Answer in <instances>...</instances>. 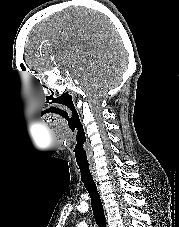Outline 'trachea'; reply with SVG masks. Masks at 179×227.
Here are the masks:
<instances>
[{
	"label": "trachea",
	"mask_w": 179,
	"mask_h": 227,
	"mask_svg": "<svg viewBox=\"0 0 179 227\" xmlns=\"http://www.w3.org/2000/svg\"><path fill=\"white\" fill-rule=\"evenodd\" d=\"M76 164L80 169L81 179L91 198L94 218L98 227H106V219L96 184L90 172L86 150L75 151Z\"/></svg>",
	"instance_id": "1"
}]
</instances>
